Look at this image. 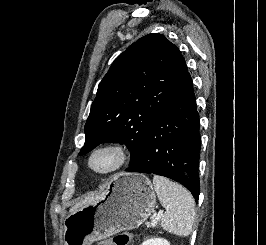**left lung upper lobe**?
<instances>
[{
    "label": "left lung upper lobe",
    "instance_id": "obj_1",
    "mask_svg": "<svg viewBox=\"0 0 266 245\" xmlns=\"http://www.w3.org/2000/svg\"><path fill=\"white\" fill-rule=\"evenodd\" d=\"M186 71L177 46L161 34H148L130 45L98 86L79 155L103 142L121 143L130 150L133 165L147 130Z\"/></svg>",
    "mask_w": 266,
    "mask_h": 245
}]
</instances>
